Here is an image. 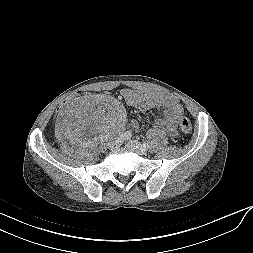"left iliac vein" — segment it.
<instances>
[{
  "label": "left iliac vein",
  "mask_w": 253,
  "mask_h": 253,
  "mask_svg": "<svg viewBox=\"0 0 253 253\" xmlns=\"http://www.w3.org/2000/svg\"><path fill=\"white\" fill-rule=\"evenodd\" d=\"M126 146L129 150L137 153L138 155H145L147 153V148L136 140L127 141Z\"/></svg>",
  "instance_id": "1"
}]
</instances>
